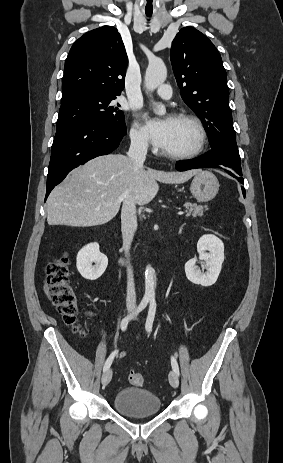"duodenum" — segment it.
Listing matches in <instances>:
<instances>
[{
    "instance_id": "duodenum-1",
    "label": "duodenum",
    "mask_w": 283,
    "mask_h": 463,
    "mask_svg": "<svg viewBox=\"0 0 283 463\" xmlns=\"http://www.w3.org/2000/svg\"><path fill=\"white\" fill-rule=\"evenodd\" d=\"M162 250H163L162 248L159 250V256H161Z\"/></svg>"
}]
</instances>
